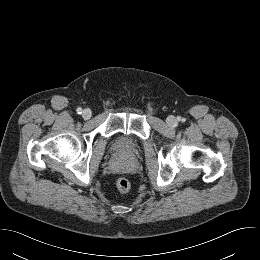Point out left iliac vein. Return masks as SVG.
Instances as JSON below:
<instances>
[{"label":"left iliac vein","instance_id":"left-iliac-vein-1","mask_svg":"<svg viewBox=\"0 0 260 260\" xmlns=\"http://www.w3.org/2000/svg\"><path fill=\"white\" fill-rule=\"evenodd\" d=\"M176 123H177V121H176V119H175L174 116H169V117L167 118V124H168L169 126H175Z\"/></svg>","mask_w":260,"mask_h":260}]
</instances>
